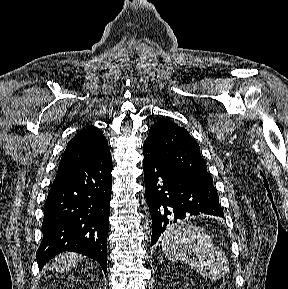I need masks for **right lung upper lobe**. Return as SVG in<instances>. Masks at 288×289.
Instances as JSON below:
<instances>
[{"mask_svg":"<svg viewBox=\"0 0 288 289\" xmlns=\"http://www.w3.org/2000/svg\"><path fill=\"white\" fill-rule=\"evenodd\" d=\"M109 153L108 142L102 132L94 126H89L79 131L68 142L58 168L89 164Z\"/></svg>","mask_w":288,"mask_h":289,"instance_id":"cb5924a9","label":"right lung upper lobe"}]
</instances>
